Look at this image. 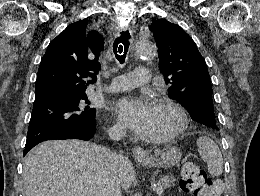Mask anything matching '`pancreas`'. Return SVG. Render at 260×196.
<instances>
[{"mask_svg":"<svg viewBox=\"0 0 260 196\" xmlns=\"http://www.w3.org/2000/svg\"><path fill=\"white\" fill-rule=\"evenodd\" d=\"M159 182L162 186H164V190H166V188H170V186H175V184H173V182H175V178H173V176H164V178H161Z\"/></svg>","mask_w":260,"mask_h":196,"instance_id":"1","label":"pancreas"}]
</instances>
